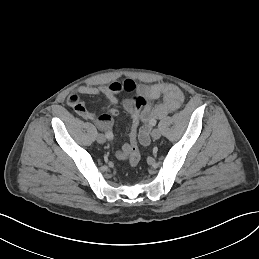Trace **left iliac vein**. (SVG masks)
I'll use <instances>...</instances> for the list:
<instances>
[{
  "label": "left iliac vein",
  "mask_w": 259,
  "mask_h": 259,
  "mask_svg": "<svg viewBox=\"0 0 259 259\" xmlns=\"http://www.w3.org/2000/svg\"><path fill=\"white\" fill-rule=\"evenodd\" d=\"M152 138H154V139H159L160 138V136H161V132H160V130L159 129H154L153 131H152Z\"/></svg>",
  "instance_id": "left-iliac-vein-1"
}]
</instances>
